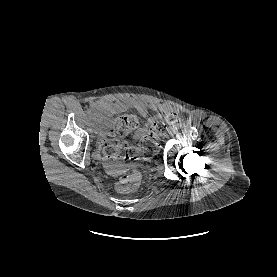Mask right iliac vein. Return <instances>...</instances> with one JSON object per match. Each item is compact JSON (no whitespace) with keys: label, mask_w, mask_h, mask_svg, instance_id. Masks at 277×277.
Here are the masks:
<instances>
[{"label":"right iliac vein","mask_w":277,"mask_h":277,"mask_svg":"<svg viewBox=\"0 0 277 277\" xmlns=\"http://www.w3.org/2000/svg\"><path fill=\"white\" fill-rule=\"evenodd\" d=\"M93 131H94L95 134H98L99 128H98V127H94V130H93Z\"/></svg>","instance_id":"1"}]
</instances>
